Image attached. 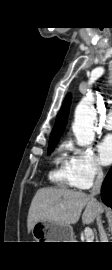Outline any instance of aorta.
<instances>
[{"instance_id":"obj_1","label":"aorta","mask_w":112,"mask_h":270,"mask_svg":"<svg viewBox=\"0 0 112 270\" xmlns=\"http://www.w3.org/2000/svg\"><path fill=\"white\" fill-rule=\"evenodd\" d=\"M93 102L94 98L88 95L81 100L75 110L72 130L79 146H87L95 138L93 125L96 119V112Z\"/></svg>"}]
</instances>
